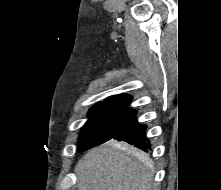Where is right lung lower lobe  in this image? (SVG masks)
Here are the masks:
<instances>
[{
	"label": "right lung lower lobe",
	"instance_id": "right-lung-lower-lobe-1",
	"mask_svg": "<svg viewBox=\"0 0 221 190\" xmlns=\"http://www.w3.org/2000/svg\"><path fill=\"white\" fill-rule=\"evenodd\" d=\"M146 125L140 124L136 116L124 126L114 137L117 141H125L145 152L150 150V142L145 135Z\"/></svg>",
	"mask_w": 221,
	"mask_h": 190
}]
</instances>
